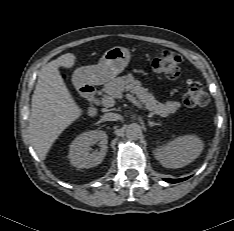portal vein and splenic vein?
Listing matches in <instances>:
<instances>
[{
  "label": "portal vein and splenic vein",
  "mask_w": 234,
  "mask_h": 231,
  "mask_svg": "<svg viewBox=\"0 0 234 231\" xmlns=\"http://www.w3.org/2000/svg\"><path fill=\"white\" fill-rule=\"evenodd\" d=\"M126 99H128L130 102H132L134 105H136L138 108L143 109V106L139 103V101L133 97L131 94H126L125 95ZM102 105L105 107H112L115 103V101L112 98L105 97L102 98L101 101Z\"/></svg>",
  "instance_id": "18ae733b"
}]
</instances>
